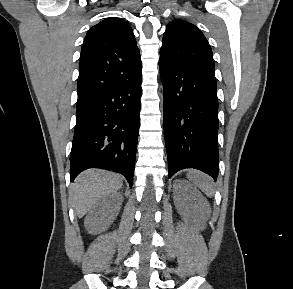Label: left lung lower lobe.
<instances>
[{"label":"left lung lower lobe","mask_w":293,"mask_h":289,"mask_svg":"<svg viewBox=\"0 0 293 289\" xmlns=\"http://www.w3.org/2000/svg\"><path fill=\"white\" fill-rule=\"evenodd\" d=\"M169 178L195 168L217 179L218 101L215 75L159 62Z\"/></svg>","instance_id":"0a47b994"}]
</instances>
